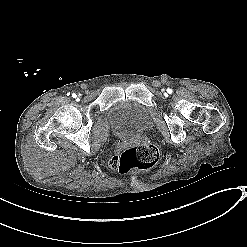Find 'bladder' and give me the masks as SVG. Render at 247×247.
<instances>
[{
	"label": "bladder",
	"instance_id": "bladder-1",
	"mask_svg": "<svg viewBox=\"0 0 247 247\" xmlns=\"http://www.w3.org/2000/svg\"><path fill=\"white\" fill-rule=\"evenodd\" d=\"M106 116L114 136L122 142L138 139L151 128L148 107L128 97L113 102L106 109Z\"/></svg>",
	"mask_w": 247,
	"mask_h": 247
}]
</instances>
